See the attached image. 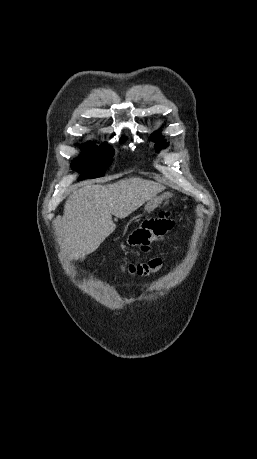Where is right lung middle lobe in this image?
Here are the masks:
<instances>
[{
	"mask_svg": "<svg viewBox=\"0 0 257 459\" xmlns=\"http://www.w3.org/2000/svg\"><path fill=\"white\" fill-rule=\"evenodd\" d=\"M125 140L122 138L120 141L123 143ZM113 155L114 151L106 144L100 147L86 144L83 146L82 157L73 160L71 166L81 172L79 180L101 177L112 163Z\"/></svg>",
	"mask_w": 257,
	"mask_h": 459,
	"instance_id": "right-lung-middle-lobe-1",
	"label": "right lung middle lobe"
}]
</instances>
